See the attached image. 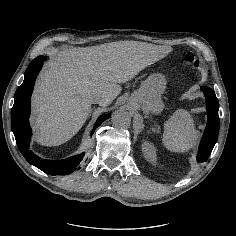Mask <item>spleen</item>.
I'll return each instance as SVG.
<instances>
[{
  "label": "spleen",
  "instance_id": "3e777b00",
  "mask_svg": "<svg viewBox=\"0 0 236 236\" xmlns=\"http://www.w3.org/2000/svg\"><path fill=\"white\" fill-rule=\"evenodd\" d=\"M196 134L189 114L179 110L164 125L163 143L172 151H184L194 143Z\"/></svg>",
  "mask_w": 236,
  "mask_h": 236
}]
</instances>
